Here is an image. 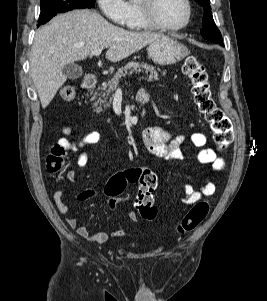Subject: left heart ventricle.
<instances>
[{"mask_svg": "<svg viewBox=\"0 0 267 301\" xmlns=\"http://www.w3.org/2000/svg\"><path fill=\"white\" fill-rule=\"evenodd\" d=\"M155 13L162 23L174 26L185 20L187 9L183 0H158Z\"/></svg>", "mask_w": 267, "mask_h": 301, "instance_id": "obj_1", "label": "left heart ventricle"}]
</instances>
